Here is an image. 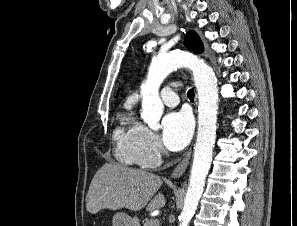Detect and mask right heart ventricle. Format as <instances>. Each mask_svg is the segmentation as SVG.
I'll list each match as a JSON object with an SVG mask.
<instances>
[{
    "label": "right heart ventricle",
    "instance_id": "1",
    "mask_svg": "<svg viewBox=\"0 0 297 226\" xmlns=\"http://www.w3.org/2000/svg\"><path fill=\"white\" fill-rule=\"evenodd\" d=\"M135 123L132 121L129 114L123 115L121 124L114 132V140L118 144L119 159L124 163H133V141L132 132Z\"/></svg>",
    "mask_w": 297,
    "mask_h": 226
}]
</instances>
